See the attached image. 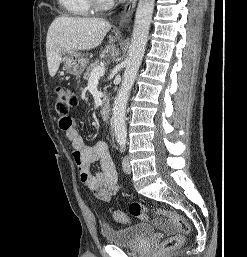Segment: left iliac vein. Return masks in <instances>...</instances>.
<instances>
[{"mask_svg":"<svg viewBox=\"0 0 247 257\" xmlns=\"http://www.w3.org/2000/svg\"><path fill=\"white\" fill-rule=\"evenodd\" d=\"M122 168H123V171L126 173V174H130L131 173V165H130V161H129V158L127 156H125L123 158V161H122Z\"/></svg>","mask_w":247,"mask_h":257,"instance_id":"obj_1","label":"left iliac vein"}]
</instances>
